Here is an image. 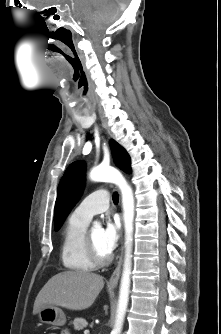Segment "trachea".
Here are the masks:
<instances>
[{"label": "trachea", "mask_w": 221, "mask_h": 334, "mask_svg": "<svg viewBox=\"0 0 221 334\" xmlns=\"http://www.w3.org/2000/svg\"><path fill=\"white\" fill-rule=\"evenodd\" d=\"M118 200H119V196H118V194H117V193H114V194H113V202H114V203H118Z\"/></svg>", "instance_id": "trachea-1"}]
</instances>
